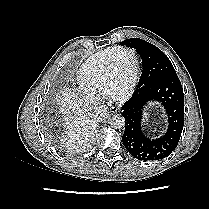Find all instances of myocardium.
Here are the masks:
<instances>
[{
	"label": "myocardium",
	"mask_w": 209,
	"mask_h": 209,
	"mask_svg": "<svg viewBox=\"0 0 209 209\" xmlns=\"http://www.w3.org/2000/svg\"><path fill=\"white\" fill-rule=\"evenodd\" d=\"M120 52H129L132 54L133 62H134V75L130 85L125 91L121 93H115L112 91V87H111L112 73L114 68V58ZM138 79H139V62L135 51L129 47H121V46L117 47L111 54L105 69L104 86H103L105 96H107L110 100L118 101V102L129 99L135 90Z\"/></svg>",
	"instance_id": "1"
}]
</instances>
